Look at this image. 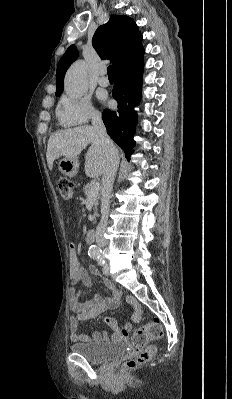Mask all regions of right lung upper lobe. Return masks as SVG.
<instances>
[{"instance_id":"obj_1","label":"right lung upper lobe","mask_w":232,"mask_h":399,"mask_svg":"<svg viewBox=\"0 0 232 399\" xmlns=\"http://www.w3.org/2000/svg\"><path fill=\"white\" fill-rule=\"evenodd\" d=\"M142 35L136 23L127 16L111 15L106 24L99 26L93 36L92 45L101 59H111L114 70L140 57L144 53ZM78 52L71 45L61 57L56 72V95L63 92L64 76Z\"/></svg>"}]
</instances>
